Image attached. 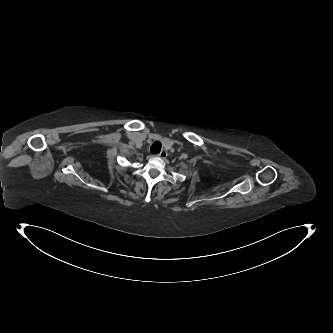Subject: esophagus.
I'll use <instances>...</instances> for the list:
<instances>
[{"label": "esophagus", "mask_w": 333, "mask_h": 333, "mask_svg": "<svg viewBox=\"0 0 333 333\" xmlns=\"http://www.w3.org/2000/svg\"><path fill=\"white\" fill-rule=\"evenodd\" d=\"M159 157L161 158H166L167 157V152L165 150H162L159 154H158Z\"/></svg>", "instance_id": "34e87169"}]
</instances>
